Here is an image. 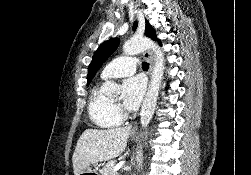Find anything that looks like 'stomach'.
<instances>
[{
  "mask_svg": "<svg viewBox=\"0 0 251 175\" xmlns=\"http://www.w3.org/2000/svg\"><path fill=\"white\" fill-rule=\"evenodd\" d=\"M98 167L99 163H92V165L83 169L82 173H79V175H99L97 171Z\"/></svg>",
  "mask_w": 251,
  "mask_h": 175,
  "instance_id": "1",
  "label": "stomach"
}]
</instances>
